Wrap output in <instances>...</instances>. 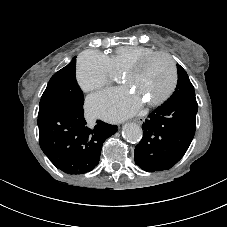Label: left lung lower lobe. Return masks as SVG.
Returning a JSON list of instances; mask_svg holds the SVG:
<instances>
[{
  "instance_id": "1",
  "label": "left lung lower lobe",
  "mask_w": 227,
  "mask_h": 227,
  "mask_svg": "<svg viewBox=\"0 0 227 227\" xmlns=\"http://www.w3.org/2000/svg\"><path fill=\"white\" fill-rule=\"evenodd\" d=\"M196 100L173 99L148 115L143 138L135 147V163L154 172L173 167L185 154L195 134Z\"/></svg>"
}]
</instances>
